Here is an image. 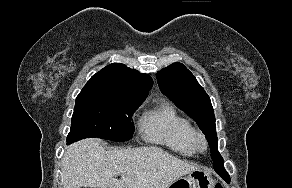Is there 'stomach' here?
Returning a JSON list of instances; mask_svg holds the SVG:
<instances>
[{"label":"stomach","mask_w":292,"mask_h":188,"mask_svg":"<svg viewBox=\"0 0 292 188\" xmlns=\"http://www.w3.org/2000/svg\"><path fill=\"white\" fill-rule=\"evenodd\" d=\"M167 188H215V180L210 171L198 168L178 178Z\"/></svg>","instance_id":"0dacf381"}]
</instances>
